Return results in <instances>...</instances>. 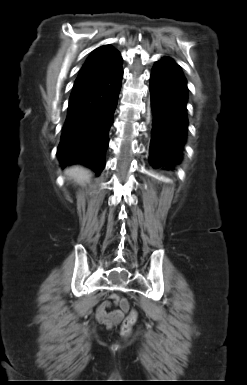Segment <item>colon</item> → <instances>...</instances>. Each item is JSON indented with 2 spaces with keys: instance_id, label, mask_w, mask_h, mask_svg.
<instances>
[{
  "instance_id": "colon-1",
  "label": "colon",
  "mask_w": 247,
  "mask_h": 385,
  "mask_svg": "<svg viewBox=\"0 0 247 385\" xmlns=\"http://www.w3.org/2000/svg\"><path fill=\"white\" fill-rule=\"evenodd\" d=\"M125 308L126 311L128 310V313L121 323L120 332L123 336H129L133 326L137 322L138 312L136 309H129L128 304L125 306Z\"/></svg>"
}]
</instances>
